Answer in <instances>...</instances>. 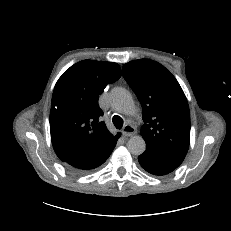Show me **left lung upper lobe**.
I'll return each instance as SVG.
<instances>
[{"instance_id": "left-lung-upper-lobe-1", "label": "left lung upper lobe", "mask_w": 231, "mask_h": 231, "mask_svg": "<svg viewBox=\"0 0 231 231\" xmlns=\"http://www.w3.org/2000/svg\"><path fill=\"white\" fill-rule=\"evenodd\" d=\"M122 74L142 105L141 135L146 148L185 157L190 143V112L176 78L150 59L124 64Z\"/></svg>"}]
</instances>
